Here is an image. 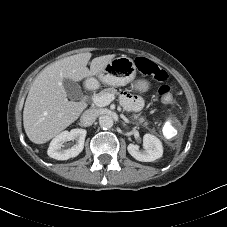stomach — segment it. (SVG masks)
<instances>
[{"instance_id": "stomach-1", "label": "stomach", "mask_w": 227, "mask_h": 227, "mask_svg": "<svg viewBox=\"0 0 227 227\" xmlns=\"http://www.w3.org/2000/svg\"><path fill=\"white\" fill-rule=\"evenodd\" d=\"M136 66L133 60L127 56L113 58L104 69L98 74V78L104 84L110 86H125L134 81ZM133 87L139 91H146L149 83L145 80H138Z\"/></svg>"}]
</instances>
